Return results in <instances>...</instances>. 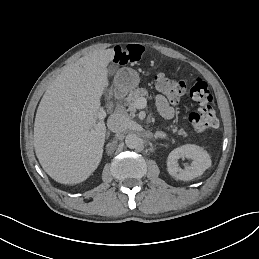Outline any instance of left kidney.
I'll return each instance as SVG.
<instances>
[{
    "instance_id": "5707ae66",
    "label": "left kidney",
    "mask_w": 259,
    "mask_h": 259,
    "mask_svg": "<svg viewBox=\"0 0 259 259\" xmlns=\"http://www.w3.org/2000/svg\"><path fill=\"white\" fill-rule=\"evenodd\" d=\"M188 159L191 166H186L185 170L179 167L178 160ZM210 159L208 154L196 146H182L174 149L167 157V171L175 179L188 181L201 176L209 167Z\"/></svg>"
}]
</instances>
